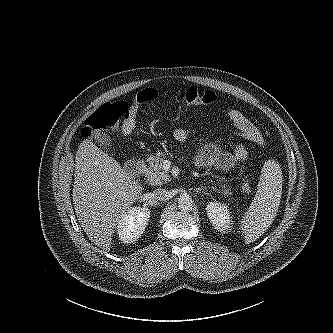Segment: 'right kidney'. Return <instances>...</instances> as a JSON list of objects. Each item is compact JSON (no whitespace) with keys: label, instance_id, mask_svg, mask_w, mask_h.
Masks as SVG:
<instances>
[{"label":"right kidney","instance_id":"1","mask_svg":"<svg viewBox=\"0 0 333 333\" xmlns=\"http://www.w3.org/2000/svg\"><path fill=\"white\" fill-rule=\"evenodd\" d=\"M150 218L148 208L133 207L125 211L117 222V233L123 243H133L141 237Z\"/></svg>","mask_w":333,"mask_h":333}]
</instances>
